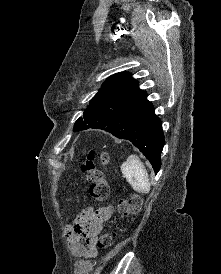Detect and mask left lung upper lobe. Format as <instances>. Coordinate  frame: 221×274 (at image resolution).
Listing matches in <instances>:
<instances>
[{
    "instance_id": "obj_1",
    "label": "left lung upper lobe",
    "mask_w": 221,
    "mask_h": 274,
    "mask_svg": "<svg viewBox=\"0 0 221 274\" xmlns=\"http://www.w3.org/2000/svg\"><path fill=\"white\" fill-rule=\"evenodd\" d=\"M144 91L138 87V82L133 79L130 73L121 72L109 77L102 85L98 93L91 99L88 108L83 116L78 118L74 125V131H80L90 126L96 120L92 114V109L101 107L108 102L117 100H130L139 97Z\"/></svg>"
}]
</instances>
